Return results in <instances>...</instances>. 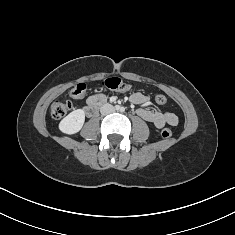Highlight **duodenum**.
<instances>
[{
  "instance_id": "1",
  "label": "duodenum",
  "mask_w": 235,
  "mask_h": 235,
  "mask_svg": "<svg viewBox=\"0 0 235 235\" xmlns=\"http://www.w3.org/2000/svg\"><path fill=\"white\" fill-rule=\"evenodd\" d=\"M103 105V103H96L94 105L88 106L85 110L86 114L89 117H92L96 114V112L98 111V109Z\"/></svg>"
}]
</instances>
